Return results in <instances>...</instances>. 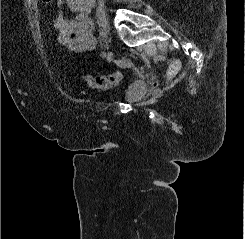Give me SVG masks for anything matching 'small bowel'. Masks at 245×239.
<instances>
[{
    "mask_svg": "<svg viewBox=\"0 0 245 239\" xmlns=\"http://www.w3.org/2000/svg\"><path fill=\"white\" fill-rule=\"evenodd\" d=\"M96 2L97 0H57L59 11L53 19V26L58 32L59 45L77 53L95 49L96 38L91 15ZM64 5L70 10L72 17H67L62 12Z\"/></svg>",
    "mask_w": 245,
    "mask_h": 239,
    "instance_id": "1",
    "label": "small bowel"
}]
</instances>
